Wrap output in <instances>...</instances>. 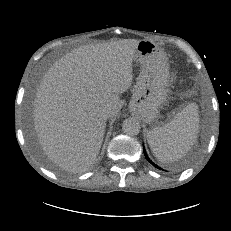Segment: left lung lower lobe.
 Segmentation results:
<instances>
[{"instance_id":"0a47b994","label":"left lung lower lobe","mask_w":231,"mask_h":231,"mask_svg":"<svg viewBox=\"0 0 231 231\" xmlns=\"http://www.w3.org/2000/svg\"><path fill=\"white\" fill-rule=\"evenodd\" d=\"M144 155H145L146 159L148 160V162H150L153 166L157 167L158 169H161L160 167H158L156 164H154V163L149 159V157L147 156L145 150H144Z\"/></svg>"}]
</instances>
